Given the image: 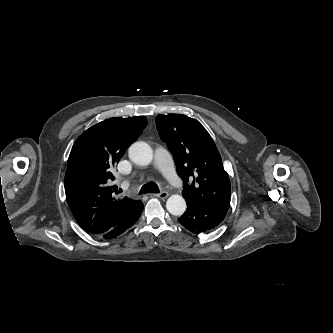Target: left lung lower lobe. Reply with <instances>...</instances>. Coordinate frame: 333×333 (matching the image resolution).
Returning <instances> with one entry per match:
<instances>
[{
	"mask_svg": "<svg viewBox=\"0 0 333 333\" xmlns=\"http://www.w3.org/2000/svg\"><path fill=\"white\" fill-rule=\"evenodd\" d=\"M187 211L178 219L179 223L192 233L199 234L218 226L227 212L197 205L187 198Z\"/></svg>",
	"mask_w": 333,
	"mask_h": 333,
	"instance_id": "left-lung-lower-lobe-1",
	"label": "left lung lower lobe"
}]
</instances>
